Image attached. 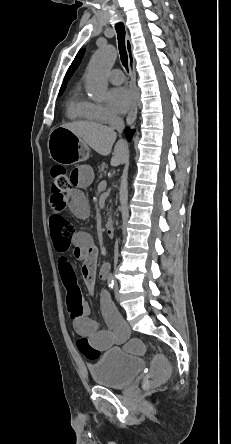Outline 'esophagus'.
Returning a JSON list of instances; mask_svg holds the SVG:
<instances>
[{
	"instance_id": "34e87169",
	"label": "esophagus",
	"mask_w": 231,
	"mask_h": 444,
	"mask_svg": "<svg viewBox=\"0 0 231 444\" xmlns=\"http://www.w3.org/2000/svg\"><path fill=\"white\" fill-rule=\"evenodd\" d=\"M126 50H127V54H128L129 68L131 71V92H132V107L126 117V123H127V125L131 126L137 117L138 98H137V92H136V86H135V77L132 73V69L134 67L133 47H132V43H131L128 35L126 36Z\"/></svg>"
}]
</instances>
